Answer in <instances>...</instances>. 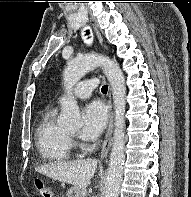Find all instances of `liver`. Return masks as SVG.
I'll return each mask as SVG.
<instances>
[{"label": "liver", "instance_id": "6515ba94", "mask_svg": "<svg viewBox=\"0 0 191 197\" xmlns=\"http://www.w3.org/2000/svg\"><path fill=\"white\" fill-rule=\"evenodd\" d=\"M97 168L96 159H82L44 164L35 170L50 178L66 182L86 191L91 178Z\"/></svg>", "mask_w": 191, "mask_h": 197}]
</instances>
